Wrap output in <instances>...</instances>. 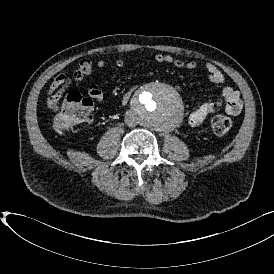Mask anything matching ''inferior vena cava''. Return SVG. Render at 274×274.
Masks as SVG:
<instances>
[{
  "label": "inferior vena cava",
  "mask_w": 274,
  "mask_h": 274,
  "mask_svg": "<svg viewBox=\"0 0 274 274\" xmlns=\"http://www.w3.org/2000/svg\"><path fill=\"white\" fill-rule=\"evenodd\" d=\"M128 125L129 126H135V124H133L131 121H129Z\"/></svg>",
  "instance_id": "obj_1"
}]
</instances>
